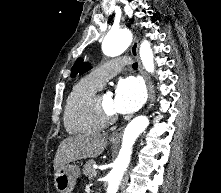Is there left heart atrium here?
<instances>
[{"instance_id":"left-heart-atrium-1","label":"left heart atrium","mask_w":221,"mask_h":193,"mask_svg":"<svg viewBox=\"0 0 221 193\" xmlns=\"http://www.w3.org/2000/svg\"><path fill=\"white\" fill-rule=\"evenodd\" d=\"M145 101V89L142 82L133 76L118 81L114 92V111L121 114L136 112Z\"/></svg>"}]
</instances>
